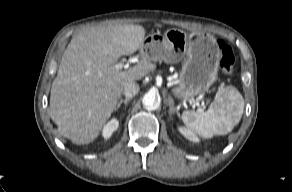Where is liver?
I'll return each mask as SVG.
<instances>
[{
    "label": "liver",
    "instance_id": "1",
    "mask_svg": "<svg viewBox=\"0 0 292 192\" xmlns=\"http://www.w3.org/2000/svg\"><path fill=\"white\" fill-rule=\"evenodd\" d=\"M140 25L87 28L68 44L50 92L49 114L59 133L75 144L93 142L115 110L126 83H135L156 66L142 59L121 71L115 64L142 45Z\"/></svg>",
    "mask_w": 292,
    "mask_h": 192
}]
</instances>
